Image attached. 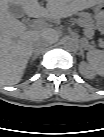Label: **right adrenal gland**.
Instances as JSON below:
<instances>
[{
	"instance_id": "1",
	"label": "right adrenal gland",
	"mask_w": 104,
	"mask_h": 137,
	"mask_svg": "<svg viewBox=\"0 0 104 137\" xmlns=\"http://www.w3.org/2000/svg\"><path fill=\"white\" fill-rule=\"evenodd\" d=\"M37 58H38V55H36V54L33 55L32 58H31V62H33V61H34L35 59H37Z\"/></svg>"
}]
</instances>
